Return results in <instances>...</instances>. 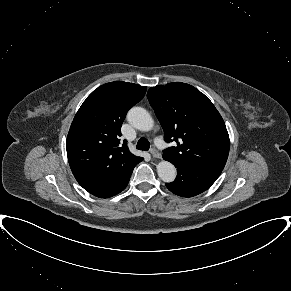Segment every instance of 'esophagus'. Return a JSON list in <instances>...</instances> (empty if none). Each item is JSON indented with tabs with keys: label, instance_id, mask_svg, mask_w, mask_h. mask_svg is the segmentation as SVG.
<instances>
[{
	"label": "esophagus",
	"instance_id": "1",
	"mask_svg": "<svg viewBox=\"0 0 291 291\" xmlns=\"http://www.w3.org/2000/svg\"><path fill=\"white\" fill-rule=\"evenodd\" d=\"M150 153L154 158H161V154L155 147L151 148Z\"/></svg>",
	"mask_w": 291,
	"mask_h": 291
}]
</instances>
